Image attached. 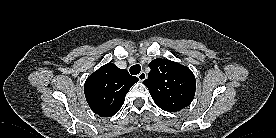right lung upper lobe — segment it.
Returning a JSON list of instances; mask_svg holds the SVG:
<instances>
[{
  "mask_svg": "<svg viewBox=\"0 0 276 138\" xmlns=\"http://www.w3.org/2000/svg\"><path fill=\"white\" fill-rule=\"evenodd\" d=\"M138 81L125 69L107 63L86 80L84 92L91 110L101 117H111L122 107L129 89Z\"/></svg>",
  "mask_w": 276,
  "mask_h": 138,
  "instance_id": "right-lung-upper-lobe-1",
  "label": "right lung upper lobe"
}]
</instances>
